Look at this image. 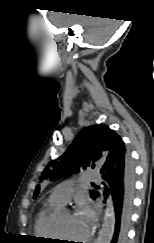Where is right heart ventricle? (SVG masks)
Instances as JSON below:
<instances>
[{
    "label": "right heart ventricle",
    "mask_w": 154,
    "mask_h": 243,
    "mask_svg": "<svg viewBox=\"0 0 154 243\" xmlns=\"http://www.w3.org/2000/svg\"><path fill=\"white\" fill-rule=\"evenodd\" d=\"M59 206V204L48 200L39 211L34 224V232L38 237L49 240L57 239L54 229L55 221L52 218V213Z\"/></svg>",
    "instance_id": "e07e8e85"
}]
</instances>
